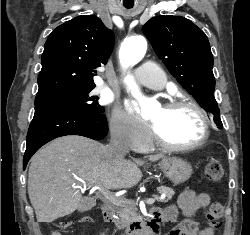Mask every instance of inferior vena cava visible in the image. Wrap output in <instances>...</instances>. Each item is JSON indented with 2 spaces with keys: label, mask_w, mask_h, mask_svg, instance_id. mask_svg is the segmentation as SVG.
<instances>
[{
  "label": "inferior vena cava",
  "mask_w": 250,
  "mask_h": 235,
  "mask_svg": "<svg viewBox=\"0 0 250 235\" xmlns=\"http://www.w3.org/2000/svg\"><path fill=\"white\" fill-rule=\"evenodd\" d=\"M107 156L111 159L124 157L128 152V146L124 137L123 131L120 128H115L111 132V140L106 146Z\"/></svg>",
  "instance_id": "1"
}]
</instances>
